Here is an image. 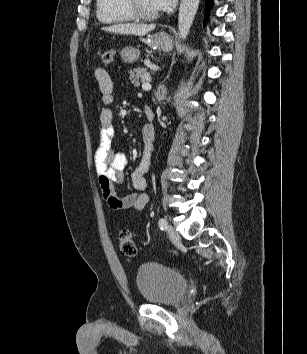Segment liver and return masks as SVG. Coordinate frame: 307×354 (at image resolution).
Segmentation results:
<instances>
[{
  "label": "liver",
  "instance_id": "obj_1",
  "mask_svg": "<svg viewBox=\"0 0 307 354\" xmlns=\"http://www.w3.org/2000/svg\"><path fill=\"white\" fill-rule=\"evenodd\" d=\"M155 28V25L147 24H136V23H122L116 24L109 27H103L102 30L121 34V35H137L143 36L152 31Z\"/></svg>",
  "mask_w": 307,
  "mask_h": 354
}]
</instances>
